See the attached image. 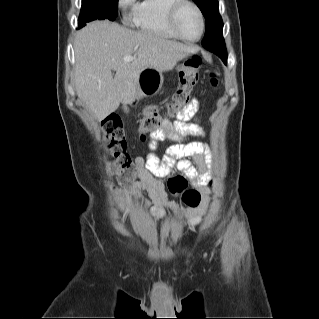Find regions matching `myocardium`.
Segmentation results:
<instances>
[{"mask_svg": "<svg viewBox=\"0 0 319 319\" xmlns=\"http://www.w3.org/2000/svg\"><path fill=\"white\" fill-rule=\"evenodd\" d=\"M184 6H191L199 19L200 22V32L199 35L196 38H187L185 36H183L178 27H177V17L179 12L181 11V9ZM167 24L169 29L171 30V32L174 34L175 37L186 41V42H197L199 41L203 34H204V30H205V22H204V15L202 10L199 8V6L193 2L192 0H175L168 8L167 11Z\"/></svg>", "mask_w": 319, "mask_h": 319, "instance_id": "obj_1", "label": "myocardium"}]
</instances>
